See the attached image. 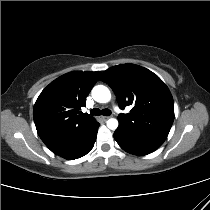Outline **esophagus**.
I'll list each match as a JSON object with an SVG mask.
<instances>
[{"instance_id": "obj_1", "label": "esophagus", "mask_w": 210, "mask_h": 210, "mask_svg": "<svg viewBox=\"0 0 210 210\" xmlns=\"http://www.w3.org/2000/svg\"><path fill=\"white\" fill-rule=\"evenodd\" d=\"M101 119H102L103 121H106V120L109 119V116H102Z\"/></svg>"}]
</instances>
